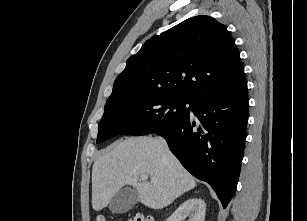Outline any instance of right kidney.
Wrapping results in <instances>:
<instances>
[{
	"mask_svg": "<svg viewBox=\"0 0 307 221\" xmlns=\"http://www.w3.org/2000/svg\"><path fill=\"white\" fill-rule=\"evenodd\" d=\"M206 213V203L201 198H190L183 202L167 221H204Z\"/></svg>",
	"mask_w": 307,
	"mask_h": 221,
	"instance_id": "obj_1",
	"label": "right kidney"
}]
</instances>
